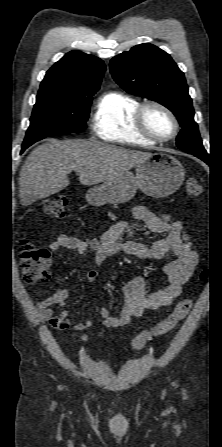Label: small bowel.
Instances as JSON below:
<instances>
[{"mask_svg":"<svg viewBox=\"0 0 222 447\" xmlns=\"http://www.w3.org/2000/svg\"><path fill=\"white\" fill-rule=\"evenodd\" d=\"M131 216L142 221L147 229L144 234L161 233L165 237L147 245L138 241H121L120 238L127 228L125 220L115 222L100 238L80 239L75 236L62 234L49 245L53 253L62 249L84 253L88 249L95 253L97 266H102L110 257L124 253L140 259H161L168 252L174 254V259L163 267L167 278V286L147 294L146 282L142 276H133L122 284L125 303L117 316L110 314L107 308H101L99 314L102 324L107 328L121 327L128 324L132 318L141 316L144 311L158 310L168 307L180 296L183 286L191 278L197 264L198 256L187 231L186 219H173L169 214H156L145 206H135L131 209ZM98 278V271L89 268L86 279L94 284ZM70 300V291L58 288L56 292L36 304V308L48 324L57 330H73L81 332L93 326L91 320L72 323L69 312L61 309L58 312L53 308L67 306ZM85 341L87 336H82Z\"/></svg>","mask_w":222,"mask_h":447,"instance_id":"c3829d8e","label":"small bowel"}]
</instances>
